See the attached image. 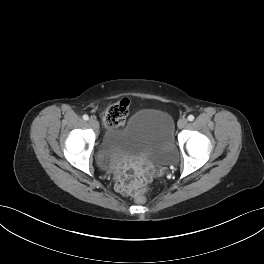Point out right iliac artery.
Here are the masks:
<instances>
[{
    "mask_svg": "<svg viewBox=\"0 0 264 264\" xmlns=\"http://www.w3.org/2000/svg\"><path fill=\"white\" fill-rule=\"evenodd\" d=\"M83 119L84 120H88L89 119V116L85 114V115H83Z\"/></svg>",
    "mask_w": 264,
    "mask_h": 264,
    "instance_id": "obj_1",
    "label": "right iliac artery"
}]
</instances>
